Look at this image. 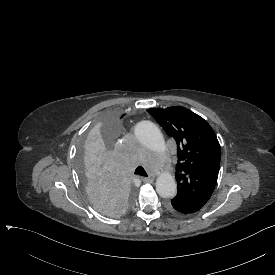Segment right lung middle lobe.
Listing matches in <instances>:
<instances>
[{
	"label": "right lung middle lobe",
	"instance_id": "dd1d6c3e",
	"mask_svg": "<svg viewBox=\"0 0 275 275\" xmlns=\"http://www.w3.org/2000/svg\"><path fill=\"white\" fill-rule=\"evenodd\" d=\"M121 127V116L106 112L85 132L79 145L78 174L83 187L92 204L108 216L126 213L135 195L113 150Z\"/></svg>",
	"mask_w": 275,
	"mask_h": 275
}]
</instances>
